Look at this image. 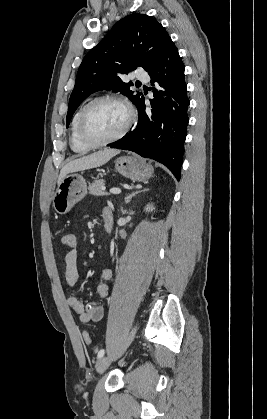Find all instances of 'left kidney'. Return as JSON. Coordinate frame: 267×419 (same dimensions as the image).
<instances>
[{"label":"left kidney","mask_w":267,"mask_h":419,"mask_svg":"<svg viewBox=\"0 0 267 419\" xmlns=\"http://www.w3.org/2000/svg\"><path fill=\"white\" fill-rule=\"evenodd\" d=\"M155 208L153 207V205L152 204H148L147 206H146V208H145V210H146V212H152L153 210H154Z\"/></svg>","instance_id":"5707ae66"}]
</instances>
